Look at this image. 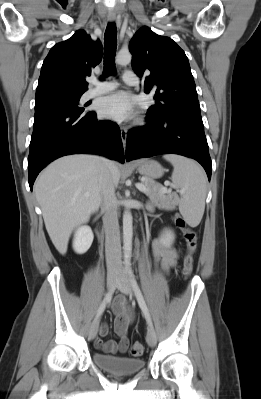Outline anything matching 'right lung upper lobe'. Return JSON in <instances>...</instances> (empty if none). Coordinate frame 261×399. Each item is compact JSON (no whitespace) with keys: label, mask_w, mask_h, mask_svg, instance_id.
Listing matches in <instances>:
<instances>
[{"label":"right lung upper lobe","mask_w":261,"mask_h":399,"mask_svg":"<svg viewBox=\"0 0 261 399\" xmlns=\"http://www.w3.org/2000/svg\"><path fill=\"white\" fill-rule=\"evenodd\" d=\"M102 52L101 43L83 30L54 45L43 62L35 101L82 95L88 89L84 78L100 63Z\"/></svg>","instance_id":"1"}]
</instances>
